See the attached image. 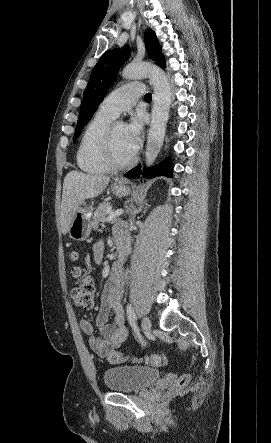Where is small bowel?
Instances as JSON below:
<instances>
[{
    "instance_id": "1",
    "label": "small bowel",
    "mask_w": 271,
    "mask_h": 443,
    "mask_svg": "<svg viewBox=\"0 0 271 443\" xmlns=\"http://www.w3.org/2000/svg\"><path fill=\"white\" fill-rule=\"evenodd\" d=\"M103 257V245L98 242L94 247V260L100 262ZM123 278L121 269L114 267L102 295L101 304L94 322L87 319L80 321V328L89 336L90 348L99 356H106L120 347L127 338L128 330L122 305ZM113 313V323L108 322L109 313Z\"/></svg>"
}]
</instances>
